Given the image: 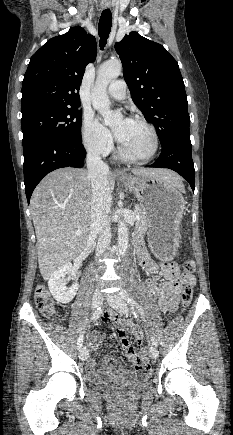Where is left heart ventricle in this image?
Here are the masks:
<instances>
[{"label": "left heart ventricle", "instance_id": "obj_1", "mask_svg": "<svg viewBox=\"0 0 233 435\" xmlns=\"http://www.w3.org/2000/svg\"><path fill=\"white\" fill-rule=\"evenodd\" d=\"M114 131L121 130L120 144L125 152L133 157H144L152 149V137L147 129L141 123L134 121L118 120L113 125Z\"/></svg>", "mask_w": 233, "mask_h": 435}]
</instances>
